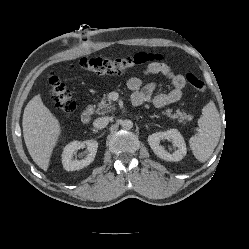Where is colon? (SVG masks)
Wrapping results in <instances>:
<instances>
[{
    "instance_id": "colon-1",
    "label": "colon",
    "mask_w": 249,
    "mask_h": 249,
    "mask_svg": "<svg viewBox=\"0 0 249 249\" xmlns=\"http://www.w3.org/2000/svg\"><path fill=\"white\" fill-rule=\"evenodd\" d=\"M161 60L162 57L157 54L138 53L127 58H83L75 67L95 74H121L135 67ZM186 80L190 86L198 91H203L206 88L205 82L193 73H188ZM48 87L59 111L65 118H69L76 107L70 90L56 74L50 75Z\"/></svg>"
}]
</instances>
